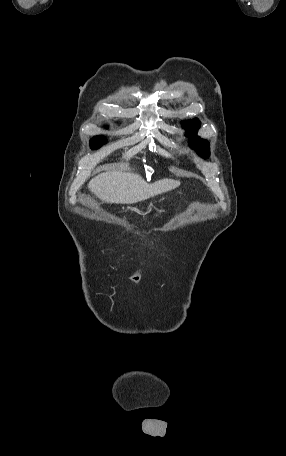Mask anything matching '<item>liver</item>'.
<instances>
[{
	"mask_svg": "<svg viewBox=\"0 0 286 456\" xmlns=\"http://www.w3.org/2000/svg\"><path fill=\"white\" fill-rule=\"evenodd\" d=\"M180 186V181L162 179L148 184L144 179L128 171H108L94 177L88 188L107 203L133 204Z\"/></svg>",
	"mask_w": 286,
	"mask_h": 456,
	"instance_id": "1",
	"label": "liver"
}]
</instances>
